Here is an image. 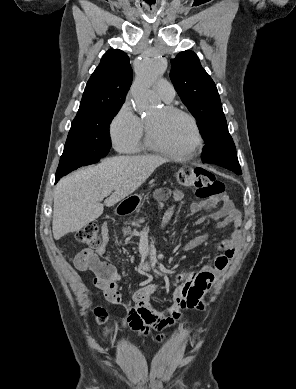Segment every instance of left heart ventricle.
Wrapping results in <instances>:
<instances>
[{
    "mask_svg": "<svg viewBox=\"0 0 296 389\" xmlns=\"http://www.w3.org/2000/svg\"><path fill=\"white\" fill-rule=\"evenodd\" d=\"M147 122L154 139L170 150L182 152L194 141L193 128L183 116L166 113L161 108L147 117Z\"/></svg>",
    "mask_w": 296,
    "mask_h": 389,
    "instance_id": "left-heart-ventricle-1",
    "label": "left heart ventricle"
}]
</instances>
